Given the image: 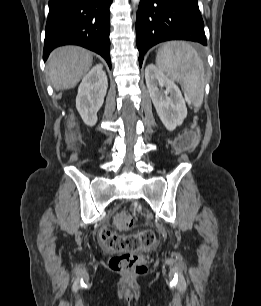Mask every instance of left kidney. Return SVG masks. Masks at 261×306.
Returning a JSON list of instances; mask_svg holds the SVG:
<instances>
[{
  "instance_id": "1",
  "label": "left kidney",
  "mask_w": 261,
  "mask_h": 306,
  "mask_svg": "<svg viewBox=\"0 0 261 306\" xmlns=\"http://www.w3.org/2000/svg\"><path fill=\"white\" fill-rule=\"evenodd\" d=\"M145 79L159 118L167 130H175L187 116V107L180 89L153 64L145 68Z\"/></svg>"
}]
</instances>
